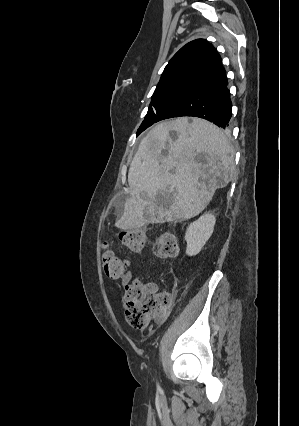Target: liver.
<instances>
[{"instance_id":"obj_1","label":"liver","mask_w":299,"mask_h":426,"mask_svg":"<svg viewBox=\"0 0 299 426\" xmlns=\"http://www.w3.org/2000/svg\"><path fill=\"white\" fill-rule=\"evenodd\" d=\"M233 178V149L220 128L200 118L161 122L138 146L128 172L130 198L115 225L131 230L190 219Z\"/></svg>"}]
</instances>
